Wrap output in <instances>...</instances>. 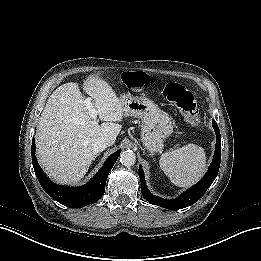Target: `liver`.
I'll use <instances>...</instances> for the list:
<instances>
[{"label": "liver", "instance_id": "1", "mask_svg": "<svg viewBox=\"0 0 261 261\" xmlns=\"http://www.w3.org/2000/svg\"><path fill=\"white\" fill-rule=\"evenodd\" d=\"M84 90L90 96L101 125L86 107L77 83L58 87L47 100L36 134L37 159L44 171L59 183H77L97 157L94 141L106 137L115 143L121 131L124 111L112 87L89 75Z\"/></svg>", "mask_w": 261, "mask_h": 261}]
</instances>
